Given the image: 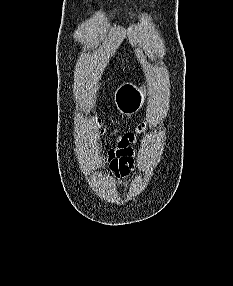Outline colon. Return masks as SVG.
Listing matches in <instances>:
<instances>
[{
  "label": "colon",
  "mask_w": 233,
  "mask_h": 286,
  "mask_svg": "<svg viewBox=\"0 0 233 286\" xmlns=\"http://www.w3.org/2000/svg\"><path fill=\"white\" fill-rule=\"evenodd\" d=\"M97 122H98V125L100 126V120H98Z\"/></svg>",
  "instance_id": "obj_1"
}]
</instances>
